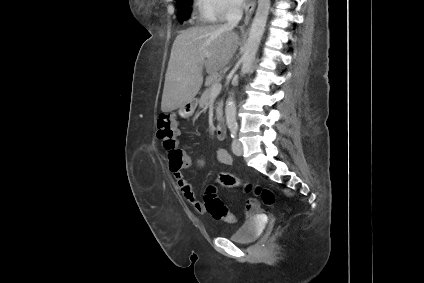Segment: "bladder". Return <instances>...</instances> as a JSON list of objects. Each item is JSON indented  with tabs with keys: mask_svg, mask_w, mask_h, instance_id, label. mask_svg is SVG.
I'll list each match as a JSON object with an SVG mask.
<instances>
[{
	"mask_svg": "<svg viewBox=\"0 0 424 283\" xmlns=\"http://www.w3.org/2000/svg\"><path fill=\"white\" fill-rule=\"evenodd\" d=\"M261 232V225L257 218L247 219L229 238L242 244H249L255 241Z\"/></svg>",
	"mask_w": 424,
	"mask_h": 283,
	"instance_id": "1",
	"label": "bladder"
}]
</instances>
